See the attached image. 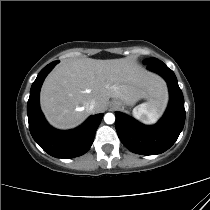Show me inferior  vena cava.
<instances>
[{
	"instance_id": "inferior-vena-cava-1",
	"label": "inferior vena cava",
	"mask_w": 210,
	"mask_h": 210,
	"mask_svg": "<svg viewBox=\"0 0 210 210\" xmlns=\"http://www.w3.org/2000/svg\"><path fill=\"white\" fill-rule=\"evenodd\" d=\"M96 106V102L94 100H91L88 104H87V109L90 112H93L94 108Z\"/></svg>"
}]
</instances>
